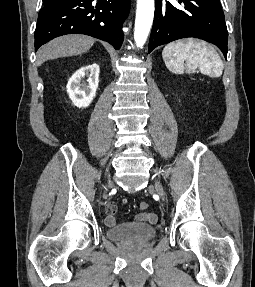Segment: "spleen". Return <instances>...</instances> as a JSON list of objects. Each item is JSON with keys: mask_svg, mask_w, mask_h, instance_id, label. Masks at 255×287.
<instances>
[{"mask_svg": "<svg viewBox=\"0 0 255 287\" xmlns=\"http://www.w3.org/2000/svg\"><path fill=\"white\" fill-rule=\"evenodd\" d=\"M162 58L171 72L183 74L184 62L187 60L188 68L194 70L200 66L201 72L209 74L210 78L222 76L223 64L217 52L206 46L202 40H177L167 44L162 52Z\"/></svg>", "mask_w": 255, "mask_h": 287, "instance_id": "spleen-1", "label": "spleen"}]
</instances>
